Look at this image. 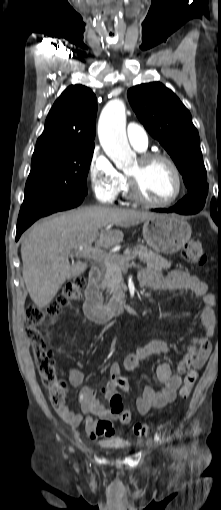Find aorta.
<instances>
[{
    "label": "aorta",
    "instance_id": "obj_1",
    "mask_svg": "<svg viewBox=\"0 0 221 510\" xmlns=\"http://www.w3.org/2000/svg\"><path fill=\"white\" fill-rule=\"evenodd\" d=\"M125 126V104L119 99L111 100L100 114L98 136L105 153L119 169L130 165L135 156L128 144Z\"/></svg>",
    "mask_w": 221,
    "mask_h": 510
}]
</instances>
